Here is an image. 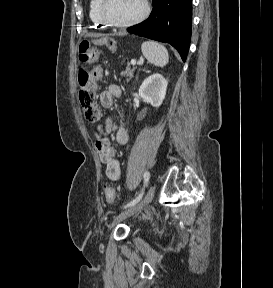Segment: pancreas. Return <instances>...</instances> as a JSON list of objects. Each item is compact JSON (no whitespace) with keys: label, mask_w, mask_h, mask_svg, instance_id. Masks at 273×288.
<instances>
[{"label":"pancreas","mask_w":273,"mask_h":288,"mask_svg":"<svg viewBox=\"0 0 273 288\" xmlns=\"http://www.w3.org/2000/svg\"><path fill=\"white\" fill-rule=\"evenodd\" d=\"M135 68L127 67L125 71H122L121 76L129 77L127 80L129 81L134 75Z\"/></svg>","instance_id":"1"}]
</instances>
